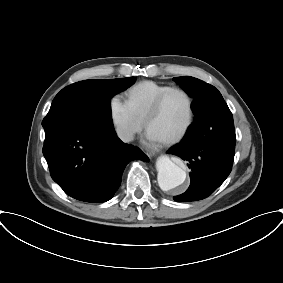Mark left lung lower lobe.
Here are the masks:
<instances>
[{
	"instance_id": "0a47b994",
	"label": "left lung lower lobe",
	"mask_w": 283,
	"mask_h": 283,
	"mask_svg": "<svg viewBox=\"0 0 283 283\" xmlns=\"http://www.w3.org/2000/svg\"><path fill=\"white\" fill-rule=\"evenodd\" d=\"M220 110L224 102L213 104ZM208 118L200 116L189 127L183 140L169 153L179 156L191 169L188 190L175 196V201H196L212 194L231 172L235 147L209 143L205 133Z\"/></svg>"
}]
</instances>
